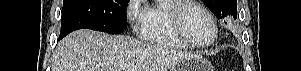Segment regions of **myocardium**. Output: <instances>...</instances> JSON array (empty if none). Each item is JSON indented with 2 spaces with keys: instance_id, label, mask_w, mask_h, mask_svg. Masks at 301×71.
I'll use <instances>...</instances> for the list:
<instances>
[{
  "instance_id": "1",
  "label": "myocardium",
  "mask_w": 301,
  "mask_h": 71,
  "mask_svg": "<svg viewBox=\"0 0 301 71\" xmlns=\"http://www.w3.org/2000/svg\"><path fill=\"white\" fill-rule=\"evenodd\" d=\"M191 7H197L199 9H201L205 15L209 18V20L211 21L212 25H213V29H214V33H213V37L212 39L205 43V44H200V43H196L193 40H191L187 34L186 28H185V21H184V17H185V13L188 9H190ZM168 13H169V17L171 19L172 22V26L174 28L175 33L177 34V36L187 45H189L190 47L193 48H199V49H206L211 47L212 45H214V43L216 42L217 38H218V33H219V28H218V24L215 20V17L213 16V14L201 3L197 2V1H190V0H177V1H173L172 3H170L167 7Z\"/></svg>"
}]
</instances>
